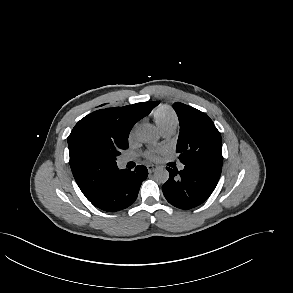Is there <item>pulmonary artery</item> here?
I'll return each mask as SVG.
<instances>
[{
    "label": "pulmonary artery",
    "mask_w": 293,
    "mask_h": 293,
    "mask_svg": "<svg viewBox=\"0 0 293 293\" xmlns=\"http://www.w3.org/2000/svg\"><path fill=\"white\" fill-rule=\"evenodd\" d=\"M174 131H175L174 129H167V130H163V131H161V133H162V135H163L164 137H170V136L173 135ZM131 160H133L132 157H130V156H126V157H123V158L120 160V163L124 165V164H126L127 162H129V161H131ZM179 169H180V170L184 169V165H183V164H180V165H179Z\"/></svg>",
    "instance_id": "pulmonary-artery-1"
}]
</instances>
